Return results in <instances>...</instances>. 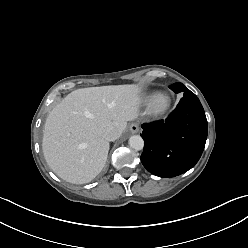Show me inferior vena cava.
Returning <instances> with one entry per match:
<instances>
[{
    "mask_svg": "<svg viewBox=\"0 0 248 248\" xmlns=\"http://www.w3.org/2000/svg\"><path fill=\"white\" fill-rule=\"evenodd\" d=\"M102 137L107 141H115L119 138V133L114 127H108L103 130Z\"/></svg>",
    "mask_w": 248,
    "mask_h": 248,
    "instance_id": "602c4592",
    "label": "inferior vena cava"
}]
</instances>
